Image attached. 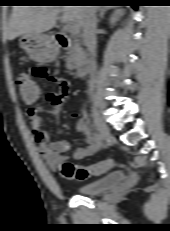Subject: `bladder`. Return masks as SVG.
I'll use <instances>...</instances> for the list:
<instances>
[{
    "instance_id": "bladder-1",
    "label": "bladder",
    "mask_w": 170,
    "mask_h": 231,
    "mask_svg": "<svg viewBox=\"0 0 170 231\" xmlns=\"http://www.w3.org/2000/svg\"><path fill=\"white\" fill-rule=\"evenodd\" d=\"M126 179L123 171L111 172L102 178L85 183L78 188V192L86 196H95L121 185Z\"/></svg>"
}]
</instances>
